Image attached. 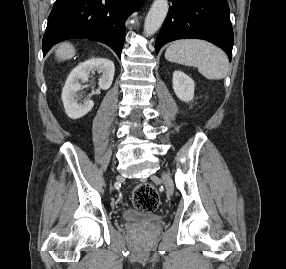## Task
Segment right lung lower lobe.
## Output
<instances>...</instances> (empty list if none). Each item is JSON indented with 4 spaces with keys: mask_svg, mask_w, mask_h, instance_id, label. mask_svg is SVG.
Masks as SVG:
<instances>
[{
    "mask_svg": "<svg viewBox=\"0 0 286 269\" xmlns=\"http://www.w3.org/2000/svg\"><path fill=\"white\" fill-rule=\"evenodd\" d=\"M143 0H56L43 37V56L58 42L85 38L110 46L118 55L125 39V20Z\"/></svg>",
    "mask_w": 286,
    "mask_h": 269,
    "instance_id": "1",
    "label": "right lung lower lobe"
}]
</instances>
